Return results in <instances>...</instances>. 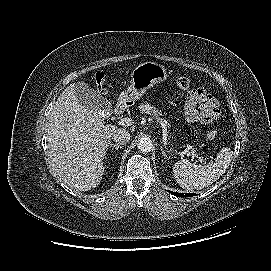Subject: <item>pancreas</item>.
I'll return each instance as SVG.
<instances>
[{
    "label": "pancreas",
    "instance_id": "obj_1",
    "mask_svg": "<svg viewBox=\"0 0 271 271\" xmlns=\"http://www.w3.org/2000/svg\"><path fill=\"white\" fill-rule=\"evenodd\" d=\"M139 110L142 113H146L149 114L151 116H153L154 119H156L163 127H167L169 125V123L166 120L162 119V112L157 109L156 107L152 106L151 104H149L148 102H146L145 104H141L139 106Z\"/></svg>",
    "mask_w": 271,
    "mask_h": 271
}]
</instances>
